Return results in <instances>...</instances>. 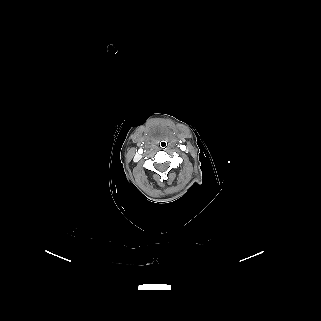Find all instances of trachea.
Returning a JSON list of instances; mask_svg holds the SVG:
<instances>
[{
    "label": "trachea",
    "mask_w": 321,
    "mask_h": 321,
    "mask_svg": "<svg viewBox=\"0 0 321 321\" xmlns=\"http://www.w3.org/2000/svg\"><path fill=\"white\" fill-rule=\"evenodd\" d=\"M159 146L161 149H166L167 148V143L165 140H160L159 141Z\"/></svg>",
    "instance_id": "obj_1"
}]
</instances>
